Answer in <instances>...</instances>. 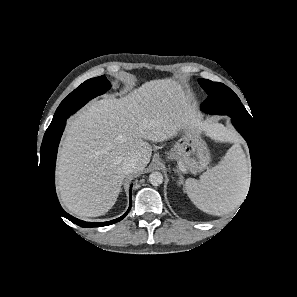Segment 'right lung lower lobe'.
<instances>
[{"instance_id": "obj_1", "label": "right lung lower lobe", "mask_w": 297, "mask_h": 297, "mask_svg": "<svg viewBox=\"0 0 297 297\" xmlns=\"http://www.w3.org/2000/svg\"><path fill=\"white\" fill-rule=\"evenodd\" d=\"M65 124H66V120L63 121L55 129L46 131L43 137L41 148H40V163H39L38 171H40L39 173L42 178V185L46 195H48V199L51 205L54 207L55 211L58 212L62 217L67 218L68 220L72 221L73 223L81 227L107 226L122 220L128 214L131 207V188H130L129 209L123 216L112 221L101 222V223L81 221L66 213L60 206V203L58 201V198L55 192L54 174H55V162H56L58 145L65 127Z\"/></svg>"}]
</instances>
